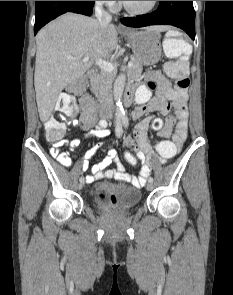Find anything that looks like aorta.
<instances>
[{
  "instance_id": "762f6f07",
  "label": "aorta",
  "mask_w": 233,
  "mask_h": 295,
  "mask_svg": "<svg viewBox=\"0 0 233 295\" xmlns=\"http://www.w3.org/2000/svg\"><path fill=\"white\" fill-rule=\"evenodd\" d=\"M125 82H126V75L120 74L116 79L115 87H114L116 111H117V114L120 116H123L125 114L123 103H122V94H123Z\"/></svg>"
}]
</instances>
